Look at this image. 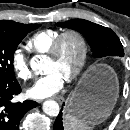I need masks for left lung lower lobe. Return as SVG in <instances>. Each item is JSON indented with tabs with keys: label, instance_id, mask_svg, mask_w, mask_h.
Wrapping results in <instances>:
<instances>
[{
	"label": "left lung lower lobe",
	"instance_id": "left-lung-lower-lobe-1",
	"mask_svg": "<svg viewBox=\"0 0 130 130\" xmlns=\"http://www.w3.org/2000/svg\"><path fill=\"white\" fill-rule=\"evenodd\" d=\"M107 83H108V79L104 76L103 77H97L95 75L89 76L83 84L82 87L83 94L89 95L90 93L93 92V90L96 87ZM54 130H64L63 123H62V112H60L56 118V121L54 123Z\"/></svg>",
	"mask_w": 130,
	"mask_h": 130
}]
</instances>
